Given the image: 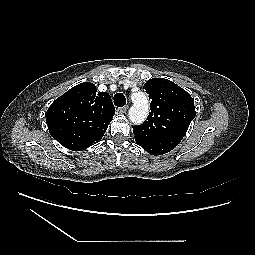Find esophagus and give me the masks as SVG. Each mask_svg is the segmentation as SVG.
I'll return each mask as SVG.
<instances>
[{
  "instance_id": "obj_1",
  "label": "esophagus",
  "mask_w": 255,
  "mask_h": 255,
  "mask_svg": "<svg viewBox=\"0 0 255 255\" xmlns=\"http://www.w3.org/2000/svg\"><path fill=\"white\" fill-rule=\"evenodd\" d=\"M127 109H128V106L126 105V106H124V107L118 108L117 111H118L119 113H125V112L127 111Z\"/></svg>"
}]
</instances>
